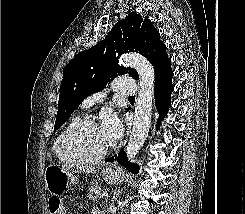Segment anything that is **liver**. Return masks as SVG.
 <instances>
[{"label": "liver", "mask_w": 245, "mask_h": 214, "mask_svg": "<svg viewBox=\"0 0 245 214\" xmlns=\"http://www.w3.org/2000/svg\"><path fill=\"white\" fill-rule=\"evenodd\" d=\"M94 169H87L86 172H94Z\"/></svg>", "instance_id": "6515ba94"}]
</instances>
